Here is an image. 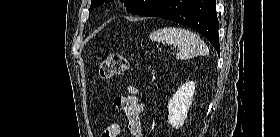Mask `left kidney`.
I'll use <instances>...</instances> for the list:
<instances>
[{"mask_svg":"<svg viewBox=\"0 0 280 137\" xmlns=\"http://www.w3.org/2000/svg\"><path fill=\"white\" fill-rule=\"evenodd\" d=\"M195 83L188 81L181 85L168 102V123L176 129L184 124L192 104Z\"/></svg>","mask_w":280,"mask_h":137,"instance_id":"left-kidney-1","label":"left kidney"}]
</instances>
